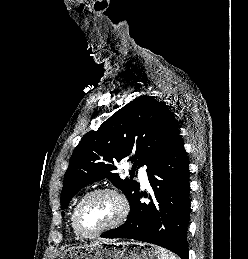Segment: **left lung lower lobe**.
Instances as JSON below:
<instances>
[{"label":"left lung lower lobe","instance_id":"left-lung-lower-lobe-1","mask_svg":"<svg viewBox=\"0 0 248 259\" xmlns=\"http://www.w3.org/2000/svg\"><path fill=\"white\" fill-rule=\"evenodd\" d=\"M188 165L181 142L148 172L159 210L153 203H141L143 195L138 193L130 202L127 221L102 237L156 244L176 253L181 259H188L187 228L191 212Z\"/></svg>","mask_w":248,"mask_h":259}]
</instances>
